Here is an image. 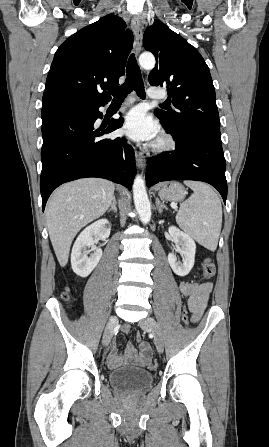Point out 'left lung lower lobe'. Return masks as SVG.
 Wrapping results in <instances>:
<instances>
[{
  "label": "left lung lower lobe",
  "mask_w": 269,
  "mask_h": 447,
  "mask_svg": "<svg viewBox=\"0 0 269 447\" xmlns=\"http://www.w3.org/2000/svg\"><path fill=\"white\" fill-rule=\"evenodd\" d=\"M166 131L173 136L176 149L148 158L147 186L168 180L204 181L220 192L226 204V162L221 138L206 132L185 134Z\"/></svg>",
  "instance_id": "0a47b994"
}]
</instances>
